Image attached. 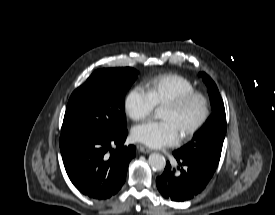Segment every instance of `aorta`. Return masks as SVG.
<instances>
[{"label":"aorta","mask_w":275,"mask_h":215,"mask_svg":"<svg viewBox=\"0 0 275 215\" xmlns=\"http://www.w3.org/2000/svg\"><path fill=\"white\" fill-rule=\"evenodd\" d=\"M155 118L156 119L161 118V111L160 110L155 111ZM148 162H149L150 167L153 170H156V171H161L166 166L165 157L163 155L159 154V153L150 154L149 158H148Z\"/></svg>","instance_id":"1"}]
</instances>
